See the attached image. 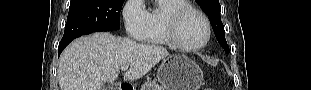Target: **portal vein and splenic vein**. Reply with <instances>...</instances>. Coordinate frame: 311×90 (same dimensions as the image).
Here are the masks:
<instances>
[{
  "label": "portal vein and splenic vein",
  "instance_id": "1",
  "mask_svg": "<svg viewBox=\"0 0 311 90\" xmlns=\"http://www.w3.org/2000/svg\"><path fill=\"white\" fill-rule=\"evenodd\" d=\"M127 69H128V66H127V65L121 66V70H122V71H126Z\"/></svg>",
  "mask_w": 311,
  "mask_h": 90
}]
</instances>
